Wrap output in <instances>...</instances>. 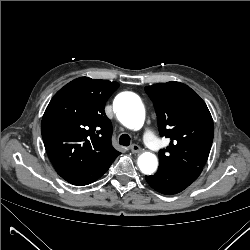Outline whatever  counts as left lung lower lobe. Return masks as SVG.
<instances>
[{
    "label": "left lung lower lobe",
    "mask_w": 250,
    "mask_h": 250,
    "mask_svg": "<svg viewBox=\"0 0 250 250\" xmlns=\"http://www.w3.org/2000/svg\"><path fill=\"white\" fill-rule=\"evenodd\" d=\"M202 168H162L152 176H145L148 184L156 191L172 195L183 191L200 175Z\"/></svg>",
    "instance_id": "0a47b994"
}]
</instances>
